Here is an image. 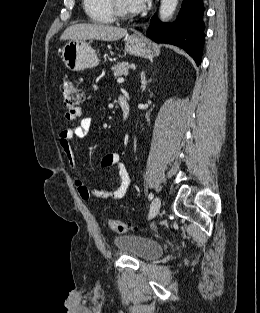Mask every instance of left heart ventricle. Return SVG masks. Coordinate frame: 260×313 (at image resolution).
<instances>
[{
	"label": "left heart ventricle",
	"instance_id": "1",
	"mask_svg": "<svg viewBox=\"0 0 260 313\" xmlns=\"http://www.w3.org/2000/svg\"><path fill=\"white\" fill-rule=\"evenodd\" d=\"M118 7L125 13H132L127 0H116Z\"/></svg>",
	"mask_w": 260,
	"mask_h": 313
}]
</instances>
